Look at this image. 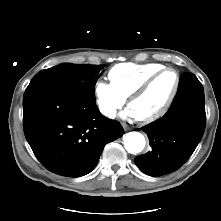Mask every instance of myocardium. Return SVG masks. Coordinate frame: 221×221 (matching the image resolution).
<instances>
[{"label":"myocardium","instance_id":"myocardium-1","mask_svg":"<svg viewBox=\"0 0 221 221\" xmlns=\"http://www.w3.org/2000/svg\"><path fill=\"white\" fill-rule=\"evenodd\" d=\"M171 71L175 74L176 76V84L175 87L169 97V99L167 100V102L165 103V105L162 107L161 110H159L157 113L147 116V117H142V118H136L137 121L144 123V124H148V123H152L155 122L157 120H159L160 118H162L171 108L177 94L180 88V75L179 72L172 68V67H164L156 72H154L153 74H151L129 97L127 100V104L128 106H130V104L137 98L141 97L142 95H144L146 93V91L150 88V86L155 82V80L161 76L163 73Z\"/></svg>","mask_w":221,"mask_h":221}]
</instances>
